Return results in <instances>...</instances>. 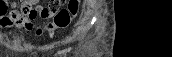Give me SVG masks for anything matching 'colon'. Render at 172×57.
Listing matches in <instances>:
<instances>
[{"mask_svg":"<svg viewBox=\"0 0 172 57\" xmlns=\"http://www.w3.org/2000/svg\"><path fill=\"white\" fill-rule=\"evenodd\" d=\"M60 4L61 1L54 0L42 11L43 14H47L48 12L55 13L53 21L45 26L47 35H52L55 30L69 26L78 13V0H70L67 8L59 9ZM21 12L30 17H34L37 14L36 9L31 8L28 4L22 7Z\"/></svg>","mask_w":172,"mask_h":57,"instance_id":"colon-1","label":"colon"}]
</instances>
